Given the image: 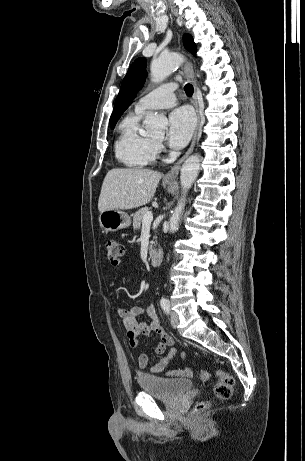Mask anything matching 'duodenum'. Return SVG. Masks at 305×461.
<instances>
[{"instance_id": "duodenum-1", "label": "duodenum", "mask_w": 305, "mask_h": 461, "mask_svg": "<svg viewBox=\"0 0 305 461\" xmlns=\"http://www.w3.org/2000/svg\"><path fill=\"white\" fill-rule=\"evenodd\" d=\"M163 259V252L161 249H151L149 251V261L152 266H158Z\"/></svg>"}]
</instances>
